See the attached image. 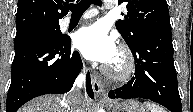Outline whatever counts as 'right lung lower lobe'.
<instances>
[{"label": "right lung lower lobe", "mask_w": 193, "mask_h": 112, "mask_svg": "<svg viewBox=\"0 0 193 112\" xmlns=\"http://www.w3.org/2000/svg\"><path fill=\"white\" fill-rule=\"evenodd\" d=\"M71 40L50 34L15 49L6 112H16L34 97L68 92L81 71L78 52H70ZM86 90L94 98L89 73Z\"/></svg>", "instance_id": "98d812e1"}]
</instances>
